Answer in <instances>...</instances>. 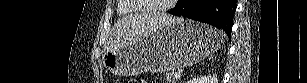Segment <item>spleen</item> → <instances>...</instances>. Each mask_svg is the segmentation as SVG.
Here are the masks:
<instances>
[{
	"label": "spleen",
	"instance_id": "spleen-1",
	"mask_svg": "<svg viewBox=\"0 0 307 83\" xmlns=\"http://www.w3.org/2000/svg\"><path fill=\"white\" fill-rule=\"evenodd\" d=\"M218 38H219V40H220V42L222 43L223 41H224V39H225V35L222 33V32H219V34H218ZM215 52V51H214ZM213 52V53H214ZM210 59H212L213 57H212V53L210 54Z\"/></svg>",
	"mask_w": 307,
	"mask_h": 83
}]
</instances>
